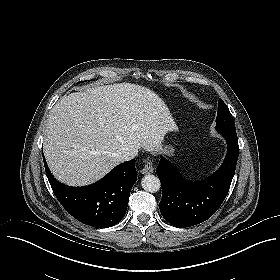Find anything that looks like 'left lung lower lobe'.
Returning <instances> with one entry per match:
<instances>
[{"instance_id":"0a47b994","label":"left lung lower lobe","mask_w":280,"mask_h":280,"mask_svg":"<svg viewBox=\"0 0 280 280\" xmlns=\"http://www.w3.org/2000/svg\"><path fill=\"white\" fill-rule=\"evenodd\" d=\"M228 150L217 172L199 182H187L178 169L161 157L156 169L161 181L162 216L173 226L185 228L209 219L224 201L235 173L239 155L237 137L224 136Z\"/></svg>"}]
</instances>
